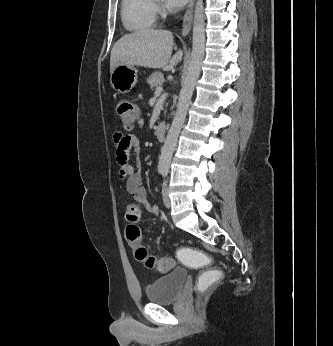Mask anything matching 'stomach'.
I'll use <instances>...</instances> for the list:
<instances>
[{
	"label": "stomach",
	"instance_id": "1",
	"mask_svg": "<svg viewBox=\"0 0 333 346\" xmlns=\"http://www.w3.org/2000/svg\"><path fill=\"white\" fill-rule=\"evenodd\" d=\"M137 83V70L134 66L119 65L110 76V84L118 93H128Z\"/></svg>",
	"mask_w": 333,
	"mask_h": 346
}]
</instances>
